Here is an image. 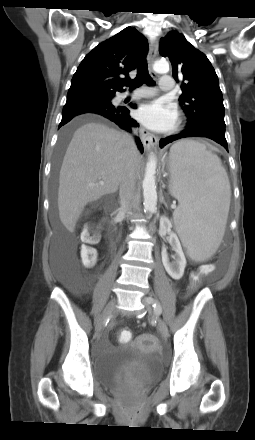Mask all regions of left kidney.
<instances>
[{
  "label": "left kidney",
  "instance_id": "obj_1",
  "mask_svg": "<svg viewBox=\"0 0 255 440\" xmlns=\"http://www.w3.org/2000/svg\"><path fill=\"white\" fill-rule=\"evenodd\" d=\"M160 227L162 231L169 234V243L172 249L175 251L174 261L170 262L166 248H162L161 256L162 263L165 267L167 273L174 279L179 280L184 274V269L186 267V258L183 253L180 241L175 233L171 231L172 224L167 217H162L160 220Z\"/></svg>",
  "mask_w": 255,
  "mask_h": 440
}]
</instances>
